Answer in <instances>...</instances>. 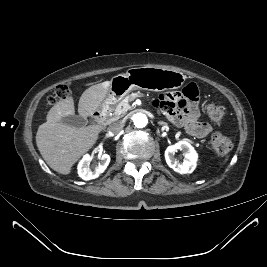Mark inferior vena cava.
Masks as SVG:
<instances>
[{
  "label": "inferior vena cava",
  "instance_id": "1",
  "mask_svg": "<svg viewBox=\"0 0 267 267\" xmlns=\"http://www.w3.org/2000/svg\"><path fill=\"white\" fill-rule=\"evenodd\" d=\"M123 128V123L121 121H117L112 123L109 127L108 130L109 132L113 134H118Z\"/></svg>",
  "mask_w": 267,
  "mask_h": 267
}]
</instances>
